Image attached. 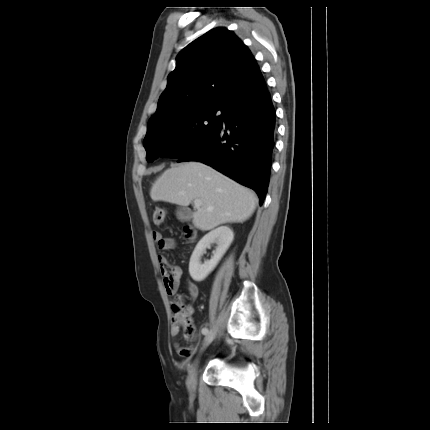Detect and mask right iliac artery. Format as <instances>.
Listing matches in <instances>:
<instances>
[{
  "mask_svg": "<svg viewBox=\"0 0 430 430\" xmlns=\"http://www.w3.org/2000/svg\"><path fill=\"white\" fill-rule=\"evenodd\" d=\"M209 332V330L208 329H206V330H202V335H207V333Z\"/></svg>",
  "mask_w": 430,
  "mask_h": 430,
  "instance_id": "right-iliac-artery-1",
  "label": "right iliac artery"
}]
</instances>
